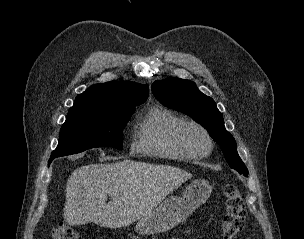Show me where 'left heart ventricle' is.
<instances>
[{"mask_svg":"<svg viewBox=\"0 0 304 239\" xmlns=\"http://www.w3.org/2000/svg\"><path fill=\"white\" fill-rule=\"evenodd\" d=\"M183 138L189 148L194 151H203L207 148L208 142L204 134L193 127L184 131Z\"/></svg>","mask_w":304,"mask_h":239,"instance_id":"b2bd125f","label":"left heart ventricle"}]
</instances>
